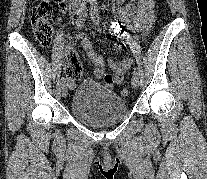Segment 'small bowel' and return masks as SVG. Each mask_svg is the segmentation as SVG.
Listing matches in <instances>:
<instances>
[{"instance_id": "c3829d8e", "label": "small bowel", "mask_w": 207, "mask_h": 179, "mask_svg": "<svg viewBox=\"0 0 207 179\" xmlns=\"http://www.w3.org/2000/svg\"><path fill=\"white\" fill-rule=\"evenodd\" d=\"M124 1L125 0H117L119 3ZM58 6L63 13L67 12V8L63 2L58 1ZM154 6V0H140L134 9L130 5H124L122 7V19L115 23V27L123 30L129 27L131 22V26L135 30L146 36L154 22ZM82 45L85 52L95 65V68L93 69L94 77L96 79L103 80L107 89L112 90L115 85L123 82L124 74L130 68L132 59H109L108 64L113 71V74L110 75L104 72V59L95 51L88 36L83 37ZM115 48L118 51H122L123 45L117 43ZM70 86L73 87L74 84L70 83Z\"/></svg>"}]
</instances>
